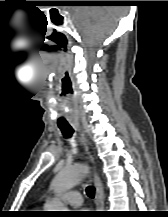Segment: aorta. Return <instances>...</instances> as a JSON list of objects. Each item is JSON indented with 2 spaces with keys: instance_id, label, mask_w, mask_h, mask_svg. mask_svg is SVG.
<instances>
[{
  "instance_id": "1",
  "label": "aorta",
  "mask_w": 168,
  "mask_h": 217,
  "mask_svg": "<svg viewBox=\"0 0 168 217\" xmlns=\"http://www.w3.org/2000/svg\"><path fill=\"white\" fill-rule=\"evenodd\" d=\"M87 173L88 167L84 164H76L62 168L52 181L51 188L56 197L46 206L47 211H68L60 201L59 196L82 181Z\"/></svg>"
}]
</instances>
